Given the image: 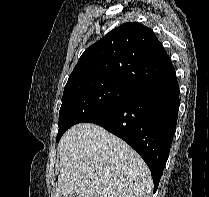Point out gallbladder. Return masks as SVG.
<instances>
[{"mask_svg": "<svg viewBox=\"0 0 209 197\" xmlns=\"http://www.w3.org/2000/svg\"><path fill=\"white\" fill-rule=\"evenodd\" d=\"M65 197H78V195L74 193V194H69V195H67Z\"/></svg>", "mask_w": 209, "mask_h": 197, "instance_id": "bac80fb5", "label": "gallbladder"}]
</instances>
